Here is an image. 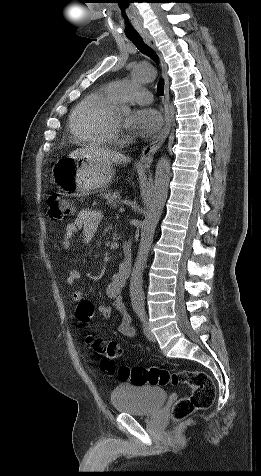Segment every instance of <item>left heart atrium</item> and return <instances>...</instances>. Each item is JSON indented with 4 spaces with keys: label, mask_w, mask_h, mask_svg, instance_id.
Listing matches in <instances>:
<instances>
[{
    "label": "left heart atrium",
    "mask_w": 261,
    "mask_h": 476,
    "mask_svg": "<svg viewBox=\"0 0 261 476\" xmlns=\"http://www.w3.org/2000/svg\"><path fill=\"white\" fill-rule=\"evenodd\" d=\"M126 125L134 133L148 137L159 130L162 125V117L155 109L140 108L132 112Z\"/></svg>",
    "instance_id": "left-heart-atrium-1"
}]
</instances>
